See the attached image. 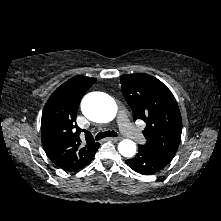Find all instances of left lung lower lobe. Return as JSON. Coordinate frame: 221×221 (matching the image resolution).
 Listing matches in <instances>:
<instances>
[{"mask_svg": "<svg viewBox=\"0 0 221 221\" xmlns=\"http://www.w3.org/2000/svg\"><path fill=\"white\" fill-rule=\"evenodd\" d=\"M171 160L156 151L139 146L137 155L126 163L137 173L150 175L162 170Z\"/></svg>", "mask_w": 221, "mask_h": 221, "instance_id": "1", "label": "left lung lower lobe"}]
</instances>
